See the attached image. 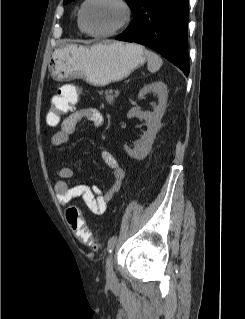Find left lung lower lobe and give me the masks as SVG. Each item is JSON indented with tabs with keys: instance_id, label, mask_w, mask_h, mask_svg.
Masks as SVG:
<instances>
[{
	"instance_id": "0a47b994",
	"label": "left lung lower lobe",
	"mask_w": 245,
	"mask_h": 319,
	"mask_svg": "<svg viewBox=\"0 0 245 319\" xmlns=\"http://www.w3.org/2000/svg\"><path fill=\"white\" fill-rule=\"evenodd\" d=\"M189 0H139L134 20L115 39L148 46L189 74Z\"/></svg>"
}]
</instances>
